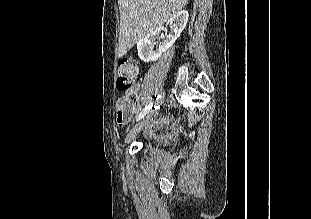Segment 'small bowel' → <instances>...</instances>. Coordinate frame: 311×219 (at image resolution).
Wrapping results in <instances>:
<instances>
[{
    "label": "small bowel",
    "instance_id": "1",
    "mask_svg": "<svg viewBox=\"0 0 311 219\" xmlns=\"http://www.w3.org/2000/svg\"><path fill=\"white\" fill-rule=\"evenodd\" d=\"M124 109H127L128 113L127 115H123L122 111ZM139 107L137 105H130L128 108H125L121 105L120 100L117 103V110H116V120L117 124L120 127H124L126 124H128L132 118L138 113Z\"/></svg>",
    "mask_w": 311,
    "mask_h": 219
}]
</instances>
